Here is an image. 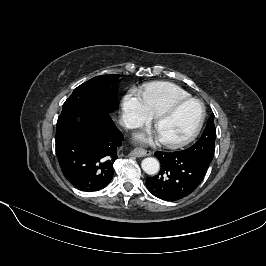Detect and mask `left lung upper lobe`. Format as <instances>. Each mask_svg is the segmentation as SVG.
Masks as SVG:
<instances>
[{
  "mask_svg": "<svg viewBox=\"0 0 266 266\" xmlns=\"http://www.w3.org/2000/svg\"><path fill=\"white\" fill-rule=\"evenodd\" d=\"M215 138L216 129L214 125V114H212L201 138L194 145L182 152L198 160L206 167H209L214 156Z\"/></svg>",
  "mask_w": 266,
  "mask_h": 266,
  "instance_id": "left-lung-upper-lobe-1",
  "label": "left lung upper lobe"
}]
</instances>
